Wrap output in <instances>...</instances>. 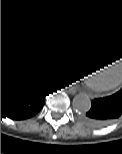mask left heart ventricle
Masks as SVG:
<instances>
[{"instance_id": "b2bd125f", "label": "left heart ventricle", "mask_w": 122, "mask_h": 154, "mask_svg": "<svg viewBox=\"0 0 122 154\" xmlns=\"http://www.w3.org/2000/svg\"><path fill=\"white\" fill-rule=\"evenodd\" d=\"M117 58L118 57L113 56V57L107 58V59H105V60H103V61H101L99 63H96V64L92 65L86 71V75H88V74H93V75L98 74V72H100V70H103L102 68H104V66H107L108 64H111ZM120 73H121L120 70L110 71L109 73L102 74L100 77H98V79H96L93 82H96V83H108V82H111L114 79H117L119 77ZM90 76H92V75H90Z\"/></svg>"}]
</instances>
